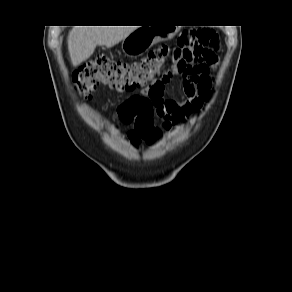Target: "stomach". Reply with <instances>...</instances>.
Listing matches in <instances>:
<instances>
[{
  "mask_svg": "<svg viewBox=\"0 0 292 292\" xmlns=\"http://www.w3.org/2000/svg\"><path fill=\"white\" fill-rule=\"evenodd\" d=\"M177 32V28L168 31L160 30L154 26L136 28L122 42V51L125 55L134 57L142 55L149 50L154 44L169 36H173Z\"/></svg>",
  "mask_w": 292,
  "mask_h": 292,
  "instance_id": "0dacf381",
  "label": "stomach"
}]
</instances>
